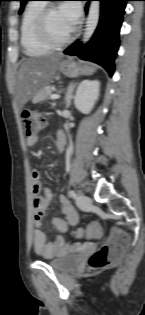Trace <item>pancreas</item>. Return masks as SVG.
<instances>
[{
  "mask_svg": "<svg viewBox=\"0 0 145 315\" xmlns=\"http://www.w3.org/2000/svg\"><path fill=\"white\" fill-rule=\"evenodd\" d=\"M53 88L51 86L44 87L37 95V98L40 100H48Z\"/></svg>",
  "mask_w": 145,
  "mask_h": 315,
  "instance_id": "obj_1",
  "label": "pancreas"
}]
</instances>
